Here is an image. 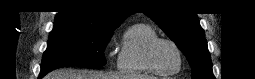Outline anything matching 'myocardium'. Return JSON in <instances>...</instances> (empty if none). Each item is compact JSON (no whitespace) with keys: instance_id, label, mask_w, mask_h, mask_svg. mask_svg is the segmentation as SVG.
I'll return each instance as SVG.
<instances>
[{"instance_id":"myocardium-1","label":"myocardium","mask_w":255,"mask_h":79,"mask_svg":"<svg viewBox=\"0 0 255 79\" xmlns=\"http://www.w3.org/2000/svg\"><path fill=\"white\" fill-rule=\"evenodd\" d=\"M160 43H168L171 46H173V48L176 50V52L179 56V65H178V68L176 70L166 71V70H163L160 67H158L157 64L155 63V61H154V50L157 47V45H159ZM145 59H146V63L149 66V68L154 73L160 74V75H173V74H176L179 71H181V69L183 68V64H184L183 52H182L181 48L179 47V45L171 39L162 38V37H157L148 44V46L146 48Z\"/></svg>"}]
</instances>
